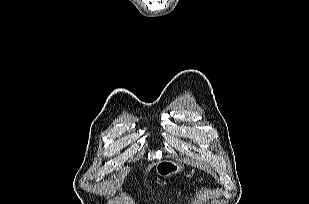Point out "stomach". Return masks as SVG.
I'll use <instances>...</instances> for the list:
<instances>
[{"instance_id":"obj_1","label":"stomach","mask_w":309,"mask_h":204,"mask_svg":"<svg viewBox=\"0 0 309 204\" xmlns=\"http://www.w3.org/2000/svg\"><path fill=\"white\" fill-rule=\"evenodd\" d=\"M184 166L171 160L161 161L156 164L155 171L161 177H169L181 172Z\"/></svg>"}]
</instances>
